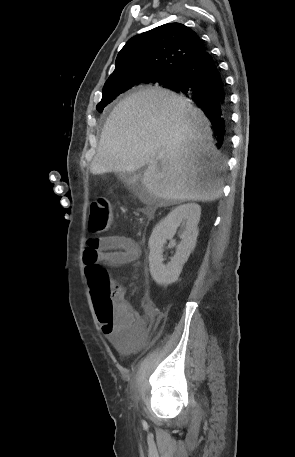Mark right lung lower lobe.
<instances>
[{"label": "right lung lower lobe", "mask_w": 295, "mask_h": 457, "mask_svg": "<svg viewBox=\"0 0 295 457\" xmlns=\"http://www.w3.org/2000/svg\"><path fill=\"white\" fill-rule=\"evenodd\" d=\"M166 88L192 99L204 111L215 129L217 148L224 149L227 143L229 98L220 68L212 55L205 50L189 60Z\"/></svg>", "instance_id": "right-lung-lower-lobe-1"}]
</instances>
